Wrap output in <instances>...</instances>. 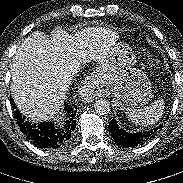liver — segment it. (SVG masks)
Returning a JSON list of instances; mask_svg holds the SVG:
<instances>
[{
	"instance_id": "liver-1",
	"label": "liver",
	"mask_w": 183,
	"mask_h": 183,
	"mask_svg": "<svg viewBox=\"0 0 183 183\" xmlns=\"http://www.w3.org/2000/svg\"><path fill=\"white\" fill-rule=\"evenodd\" d=\"M118 33L102 27L84 28L69 35L54 30L49 39L35 31L18 47L11 70V92L22 114L32 121L51 119L58 113L71 78L65 67L71 60L102 64Z\"/></svg>"
}]
</instances>
